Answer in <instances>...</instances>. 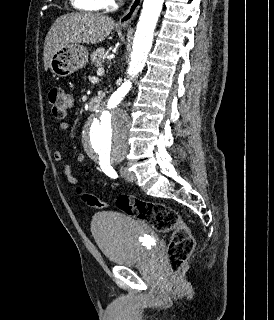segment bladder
I'll use <instances>...</instances> for the list:
<instances>
[{"label":"bladder","instance_id":"31cf9c89","mask_svg":"<svg viewBox=\"0 0 274 320\" xmlns=\"http://www.w3.org/2000/svg\"><path fill=\"white\" fill-rule=\"evenodd\" d=\"M93 238L113 265L142 264L156 253L158 236L148 223L115 212H99L91 221Z\"/></svg>","mask_w":274,"mask_h":320}]
</instances>
